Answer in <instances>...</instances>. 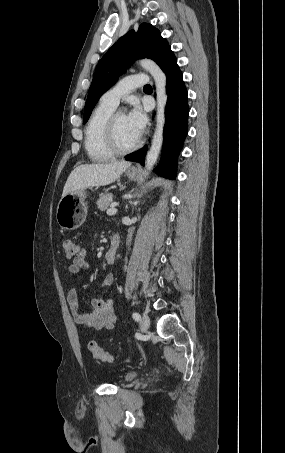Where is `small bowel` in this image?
Returning <instances> with one entry per match:
<instances>
[{
    "label": "small bowel",
    "mask_w": 285,
    "mask_h": 453,
    "mask_svg": "<svg viewBox=\"0 0 285 453\" xmlns=\"http://www.w3.org/2000/svg\"><path fill=\"white\" fill-rule=\"evenodd\" d=\"M69 272L73 276H79L88 269L85 251L81 250L78 257L69 265ZM114 276L111 273L105 275L102 286H109L113 283ZM67 302L70 306L72 317L75 323L83 330H107L114 326L116 316L114 313L115 303L111 298H104L97 294L91 301L89 311L79 309L78 297L74 287L67 290Z\"/></svg>",
    "instance_id": "c3829d8e"
}]
</instances>
